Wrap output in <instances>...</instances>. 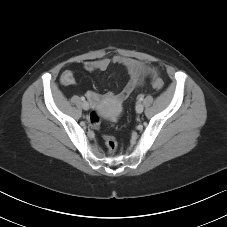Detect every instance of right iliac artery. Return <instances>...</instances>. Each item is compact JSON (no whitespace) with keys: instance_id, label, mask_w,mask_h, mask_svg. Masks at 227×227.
<instances>
[{"instance_id":"1","label":"right iliac artery","mask_w":227,"mask_h":227,"mask_svg":"<svg viewBox=\"0 0 227 227\" xmlns=\"http://www.w3.org/2000/svg\"><path fill=\"white\" fill-rule=\"evenodd\" d=\"M81 100L85 102V97L82 96V97H81Z\"/></svg>"}]
</instances>
